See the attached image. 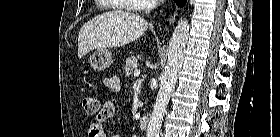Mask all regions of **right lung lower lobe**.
<instances>
[{
  "label": "right lung lower lobe",
  "instance_id": "right-lung-lower-lobe-1",
  "mask_svg": "<svg viewBox=\"0 0 280 137\" xmlns=\"http://www.w3.org/2000/svg\"><path fill=\"white\" fill-rule=\"evenodd\" d=\"M178 6H184L187 0H174Z\"/></svg>",
  "mask_w": 280,
  "mask_h": 137
}]
</instances>
